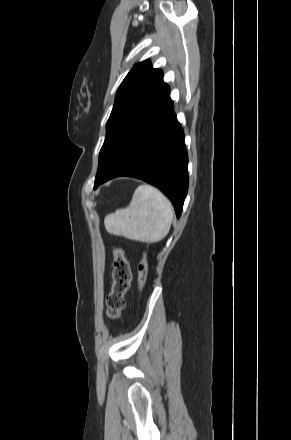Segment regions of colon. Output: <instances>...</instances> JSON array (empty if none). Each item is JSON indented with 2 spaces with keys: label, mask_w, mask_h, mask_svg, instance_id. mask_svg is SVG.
Segmentation results:
<instances>
[{
  "label": "colon",
  "mask_w": 291,
  "mask_h": 440,
  "mask_svg": "<svg viewBox=\"0 0 291 440\" xmlns=\"http://www.w3.org/2000/svg\"><path fill=\"white\" fill-rule=\"evenodd\" d=\"M113 286L110 293L106 297L107 315L110 318H117L124 306V294L126 293L130 283V266L125 258L124 251L121 247H116L113 251ZM147 261L143 259L138 267L139 283L142 287L147 275Z\"/></svg>",
  "instance_id": "obj_1"
}]
</instances>
